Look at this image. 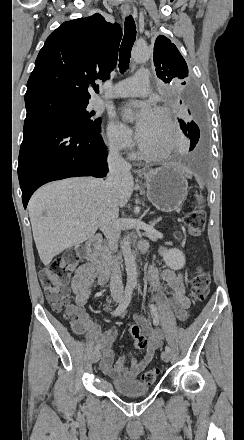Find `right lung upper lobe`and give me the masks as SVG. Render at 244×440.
<instances>
[{
  "label": "right lung upper lobe",
  "instance_id": "cb5924a9",
  "mask_svg": "<svg viewBox=\"0 0 244 440\" xmlns=\"http://www.w3.org/2000/svg\"><path fill=\"white\" fill-rule=\"evenodd\" d=\"M122 30L98 13L64 22L40 50L25 98L58 94L90 98L96 79L106 80L118 59Z\"/></svg>",
  "mask_w": 244,
  "mask_h": 440
}]
</instances>
